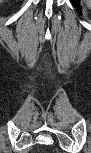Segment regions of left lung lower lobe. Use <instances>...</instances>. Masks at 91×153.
<instances>
[{"mask_svg":"<svg viewBox=\"0 0 91 153\" xmlns=\"http://www.w3.org/2000/svg\"><path fill=\"white\" fill-rule=\"evenodd\" d=\"M79 1H80V0H71V2H72L73 4H75V6H78ZM78 8H79V6H78Z\"/></svg>","mask_w":91,"mask_h":153,"instance_id":"0a47b994","label":"left lung lower lobe"}]
</instances>
